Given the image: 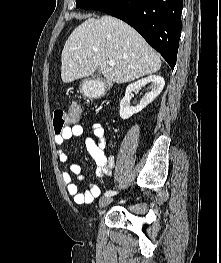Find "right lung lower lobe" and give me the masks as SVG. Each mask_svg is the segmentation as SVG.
I'll list each match as a JSON object with an SVG mask.
<instances>
[{
  "label": "right lung lower lobe",
  "instance_id": "1",
  "mask_svg": "<svg viewBox=\"0 0 221 263\" xmlns=\"http://www.w3.org/2000/svg\"><path fill=\"white\" fill-rule=\"evenodd\" d=\"M182 6L183 0H103L94 10L131 25L174 69L181 35Z\"/></svg>",
  "mask_w": 221,
  "mask_h": 263
}]
</instances>
